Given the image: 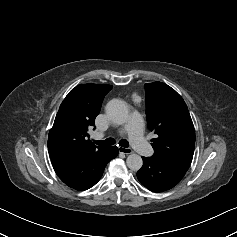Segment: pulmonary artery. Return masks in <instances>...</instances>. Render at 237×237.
Returning <instances> with one entry per match:
<instances>
[{"label": "pulmonary artery", "instance_id": "1", "mask_svg": "<svg viewBox=\"0 0 237 237\" xmlns=\"http://www.w3.org/2000/svg\"><path fill=\"white\" fill-rule=\"evenodd\" d=\"M143 125L141 116L134 113L124 127V131L128 133L129 140L138 153L143 156H151L154 153V150L143 136ZM96 137L101 138L102 134L98 133Z\"/></svg>", "mask_w": 237, "mask_h": 237}]
</instances>
